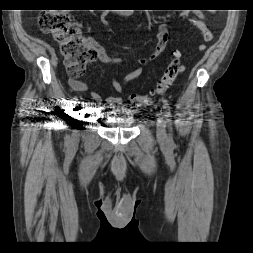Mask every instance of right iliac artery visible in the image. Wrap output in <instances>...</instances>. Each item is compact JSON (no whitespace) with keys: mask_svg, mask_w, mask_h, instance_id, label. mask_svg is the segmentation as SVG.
Instances as JSON below:
<instances>
[{"mask_svg":"<svg viewBox=\"0 0 253 253\" xmlns=\"http://www.w3.org/2000/svg\"><path fill=\"white\" fill-rule=\"evenodd\" d=\"M79 98L76 97V95H73L72 100L70 101V105L69 108L67 110V117H68V121H71V115L73 113V111L76 109V106L78 104Z\"/></svg>","mask_w":253,"mask_h":253,"instance_id":"right-iliac-artery-1","label":"right iliac artery"}]
</instances>
